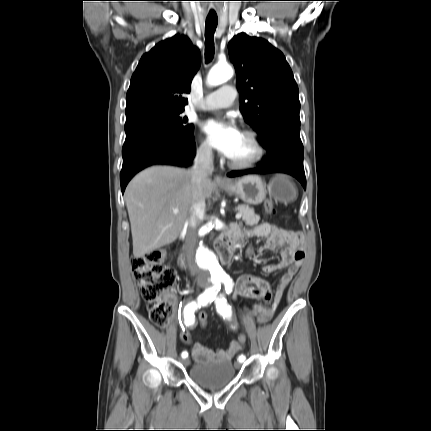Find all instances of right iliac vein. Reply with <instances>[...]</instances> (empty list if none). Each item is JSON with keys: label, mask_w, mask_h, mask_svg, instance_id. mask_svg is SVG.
<instances>
[{"label": "right iliac vein", "mask_w": 431, "mask_h": 431, "mask_svg": "<svg viewBox=\"0 0 431 431\" xmlns=\"http://www.w3.org/2000/svg\"><path fill=\"white\" fill-rule=\"evenodd\" d=\"M184 365H188L189 364V360L188 359H184L182 362Z\"/></svg>", "instance_id": "63e3f726"}]
</instances>
